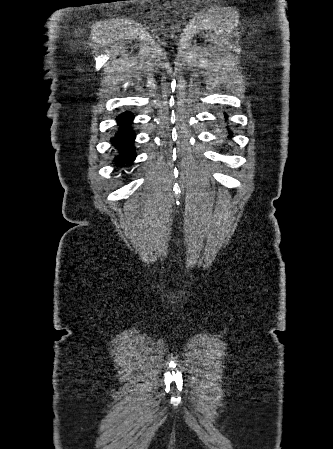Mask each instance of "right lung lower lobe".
Returning <instances> with one entry per match:
<instances>
[{"mask_svg": "<svg viewBox=\"0 0 333 449\" xmlns=\"http://www.w3.org/2000/svg\"><path fill=\"white\" fill-rule=\"evenodd\" d=\"M134 115L126 111L117 117L118 131L111 142L117 151L115 158L116 167L123 168L132 164L136 157V153L133 148L135 139V133L131 129L132 120Z\"/></svg>", "mask_w": 333, "mask_h": 449, "instance_id": "98d812e1", "label": "right lung lower lobe"}]
</instances>
